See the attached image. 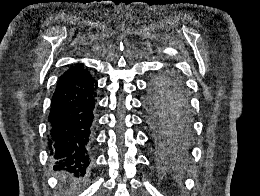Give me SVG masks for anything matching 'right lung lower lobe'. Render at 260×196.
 I'll return each mask as SVG.
<instances>
[{"label":"right lung lower lobe","instance_id":"1","mask_svg":"<svg viewBox=\"0 0 260 196\" xmlns=\"http://www.w3.org/2000/svg\"><path fill=\"white\" fill-rule=\"evenodd\" d=\"M97 87L87 69L59 78L47 132L49 154L56 164L54 170H66L75 176L85 174L93 144Z\"/></svg>","mask_w":260,"mask_h":196}]
</instances>
